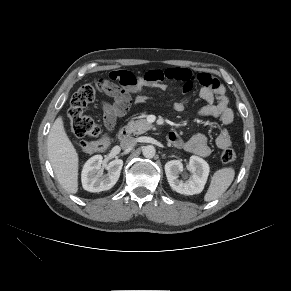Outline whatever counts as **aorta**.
Returning a JSON list of instances; mask_svg holds the SVG:
<instances>
[{
	"label": "aorta",
	"instance_id": "obj_1",
	"mask_svg": "<svg viewBox=\"0 0 291 291\" xmlns=\"http://www.w3.org/2000/svg\"><path fill=\"white\" fill-rule=\"evenodd\" d=\"M143 156L146 158H153L155 156L156 150L152 145L144 146L142 149Z\"/></svg>",
	"mask_w": 291,
	"mask_h": 291
}]
</instances>
